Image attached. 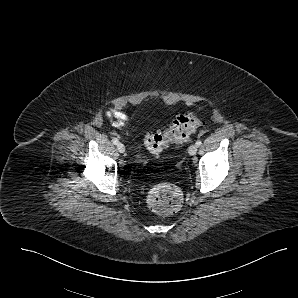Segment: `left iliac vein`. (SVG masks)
Instances as JSON below:
<instances>
[{
  "label": "left iliac vein",
  "mask_w": 298,
  "mask_h": 298,
  "mask_svg": "<svg viewBox=\"0 0 298 298\" xmlns=\"http://www.w3.org/2000/svg\"><path fill=\"white\" fill-rule=\"evenodd\" d=\"M197 149L198 147L196 145H191L189 148H188V153L190 155H195L196 152H197Z\"/></svg>",
  "instance_id": "4c4485c4"
}]
</instances>
